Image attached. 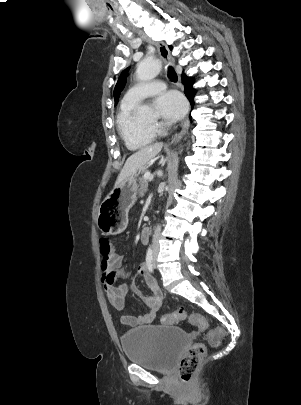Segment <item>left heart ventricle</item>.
I'll list each match as a JSON object with an SVG mask.
<instances>
[{
    "label": "left heart ventricle",
    "instance_id": "b2bd125f",
    "mask_svg": "<svg viewBox=\"0 0 301 405\" xmlns=\"http://www.w3.org/2000/svg\"><path fill=\"white\" fill-rule=\"evenodd\" d=\"M154 121H155L154 119H148V120H145V123L152 124Z\"/></svg>",
    "mask_w": 301,
    "mask_h": 405
}]
</instances>
